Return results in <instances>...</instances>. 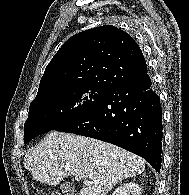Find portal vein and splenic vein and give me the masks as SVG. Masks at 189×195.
<instances>
[{"label": "portal vein and splenic vein", "instance_id": "obj_1", "mask_svg": "<svg viewBox=\"0 0 189 195\" xmlns=\"http://www.w3.org/2000/svg\"><path fill=\"white\" fill-rule=\"evenodd\" d=\"M75 180H76V181L81 180V176H80V175H76V176H75ZM84 183H85L86 185H89L91 182H90V181H84Z\"/></svg>", "mask_w": 189, "mask_h": 195}]
</instances>
